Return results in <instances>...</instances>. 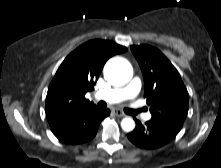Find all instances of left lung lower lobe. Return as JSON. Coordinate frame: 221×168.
Returning <instances> with one entry per match:
<instances>
[{
  "instance_id": "1",
  "label": "left lung lower lobe",
  "mask_w": 221,
  "mask_h": 168,
  "mask_svg": "<svg viewBox=\"0 0 221 168\" xmlns=\"http://www.w3.org/2000/svg\"><path fill=\"white\" fill-rule=\"evenodd\" d=\"M136 121V128L127 134L128 139L138 147L144 149L159 148L172 140L179 131L165 124L148 121L144 125Z\"/></svg>"
}]
</instances>
